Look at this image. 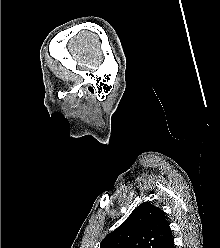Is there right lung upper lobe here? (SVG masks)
Wrapping results in <instances>:
<instances>
[{"mask_svg": "<svg viewBox=\"0 0 220 248\" xmlns=\"http://www.w3.org/2000/svg\"><path fill=\"white\" fill-rule=\"evenodd\" d=\"M170 238L172 231L164 212L144 202L104 238L100 248H163Z\"/></svg>", "mask_w": 220, "mask_h": 248, "instance_id": "cb5924a9", "label": "right lung upper lobe"}]
</instances>
